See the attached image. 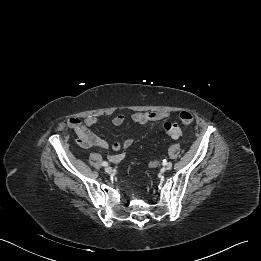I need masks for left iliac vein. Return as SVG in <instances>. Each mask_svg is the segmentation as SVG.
Listing matches in <instances>:
<instances>
[{"instance_id": "left-iliac-vein-1", "label": "left iliac vein", "mask_w": 261, "mask_h": 261, "mask_svg": "<svg viewBox=\"0 0 261 261\" xmlns=\"http://www.w3.org/2000/svg\"><path fill=\"white\" fill-rule=\"evenodd\" d=\"M164 167H165V170H170L172 168V163L169 162Z\"/></svg>"}]
</instances>
